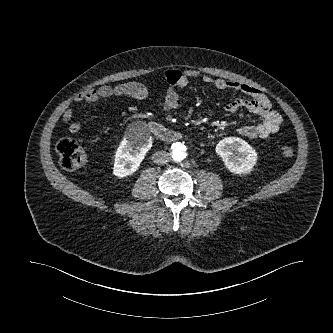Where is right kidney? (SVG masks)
<instances>
[{
	"mask_svg": "<svg viewBox=\"0 0 333 333\" xmlns=\"http://www.w3.org/2000/svg\"><path fill=\"white\" fill-rule=\"evenodd\" d=\"M151 146L152 138L149 135L125 137L115 154L113 174L118 178L132 175L138 170Z\"/></svg>",
	"mask_w": 333,
	"mask_h": 333,
	"instance_id": "right-kidney-1",
	"label": "right kidney"
}]
</instances>
